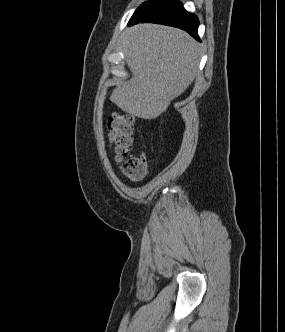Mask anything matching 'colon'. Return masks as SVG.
Listing matches in <instances>:
<instances>
[{
    "mask_svg": "<svg viewBox=\"0 0 285 332\" xmlns=\"http://www.w3.org/2000/svg\"><path fill=\"white\" fill-rule=\"evenodd\" d=\"M134 123L132 115L114 113L107 126L110 146L123 174L132 181H139L145 176L147 165L144 157L130 155Z\"/></svg>",
    "mask_w": 285,
    "mask_h": 332,
    "instance_id": "1",
    "label": "colon"
}]
</instances>
